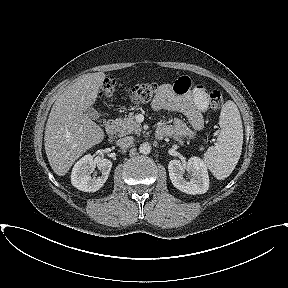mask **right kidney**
Masks as SVG:
<instances>
[{
    "label": "right kidney",
    "mask_w": 288,
    "mask_h": 288,
    "mask_svg": "<svg viewBox=\"0 0 288 288\" xmlns=\"http://www.w3.org/2000/svg\"><path fill=\"white\" fill-rule=\"evenodd\" d=\"M96 166V162L91 154H87L76 162L71 173V183L77 189L84 192H95L99 190L106 180L112 168L109 159H102L98 164L101 176L91 177V170Z\"/></svg>",
    "instance_id": "right-kidney-1"
}]
</instances>
